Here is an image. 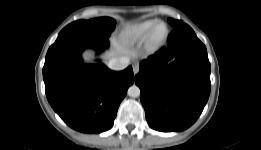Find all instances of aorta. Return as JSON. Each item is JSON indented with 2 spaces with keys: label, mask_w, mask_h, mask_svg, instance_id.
Wrapping results in <instances>:
<instances>
[{
  "label": "aorta",
  "mask_w": 261,
  "mask_h": 150,
  "mask_svg": "<svg viewBox=\"0 0 261 150\" xmlns=\"http://www.w3.org/2000/svg\"><path fill=\"white\" fill-rule=\"evenodd\" d=\"M127 94L130 97L136 98L140 96V89L137 85H132L129 87Z\"/></svg>",
  "instance_id": "aorta-1"
}]
</instances>
